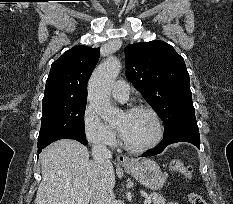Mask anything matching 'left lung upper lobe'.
<instances>
[{
	"instance_id": "left-lung-upper-lobe-1",
	"label": "left lung upper lobe",
	"mask_w": 233,
	"mask_h": 204,
	"mask_svg": "<svg viewBox=\"0 0 233 204\" xmlns=\"http://www.w3.org/2000/svg\"><path fill=\"white\" fill-rule=\"evenodd\" d=\"M125 53L126 77L164 121V137L198 128L183 57L159 40L128 45Z\"/></svg>"
}]
</instances>
